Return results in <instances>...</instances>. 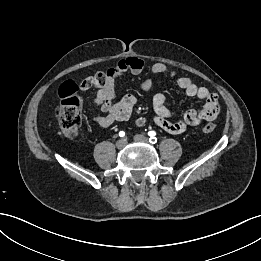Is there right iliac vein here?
<instances>
[{
  "label": "right iliac vein",
  "instance_id": "63e3f726",
  "mask_svg": "<svg viewBox=\"0 0 261 261\" xmlns=\"http://www.w3.org/2000/svg\"><path fill=\"white\" fill-rule=\"evenodd\" d=\"M126 145V140L125 139H120L116 142V147L118 149H123Z\"/></svg>",
  "mask_w": 261,
  "mask_h": 261
}]
</instances>
